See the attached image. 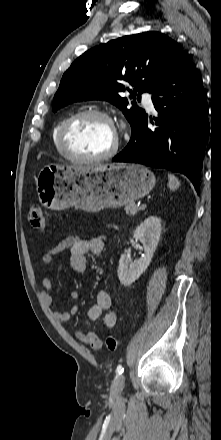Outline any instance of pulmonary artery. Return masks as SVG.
I'll return each mask as SVG.
<instances>
[{"label": "pulmonary artery", "mask_w": 221, "mask_h": 440, "mask_svg": "<svg viewBox=\"0 0 221 440\" xmlns=\"http://www.w3.org/2000/svg\"><path fill=\"white\" fill-rule=\"evenodd\" d=\"M142 103L149 111H154V105L152 102L151 95L147 92L142 94Z\"/></svg>", "instance_id": "e3ab8cb5"}]
</instances>
